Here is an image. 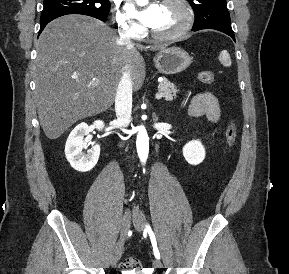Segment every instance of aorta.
Segmentation results:
<instances>
[{"label": "aorta", "instance_id": "obj_1", "mask_svg": "<svg viewBox=\"0 0 289 274\" xmlns=\"http://www.w3.org/2000/svg\"><path fill=\"white\" fill-rule=\"evenodd\" d=\"M136 146L141 162L145 163L149 153V137L144 126L138 127Z\"/></svg>", "mask_w": 289, "mask_h": 274}]
</instances>
